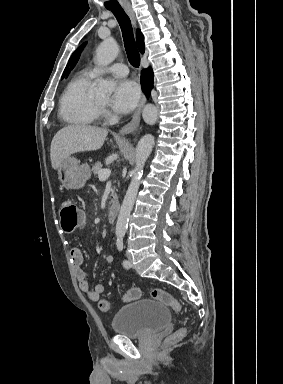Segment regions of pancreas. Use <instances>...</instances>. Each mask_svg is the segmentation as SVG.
<instances>
[{
    "instance_id": "cf45deb5",
    "label": "pancreas",
    "mask_w": 283,
    "mask_h": 384,
    "mask_svg": "<svg viewBox=\"0 0 283 384\" xmlns=\"http://www.w3.org/2000/svg\"><path fill=\"white\" fill-rule=\"evenodd\" d=\"M100 170H103L102 164H101V162H96V164H94V166H92L93 174H95V176H98ZM111 196H113V198H116L117 194H116L115 190H111Z\"/></svg>"
}]
</instances>
